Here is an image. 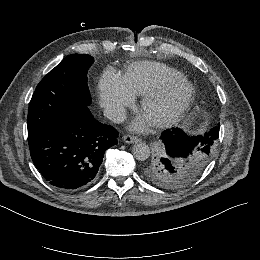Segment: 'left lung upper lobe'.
<instances>
[{
  "instance_id": "left-lung-upper-lobe-1",
  "label": "left lung upper lobe",
  "mask_w": 260,
  "mask_h": 260,
  "mask_svg": "<svg viewBox=\"0 0 260 260\" xmlns=\"http://www.w3.org/2000/svg\"><path fill=\"white\" fill-rule=\"evenodd\" d=\"M213 153L198 151L185 157L170 158L163 143H157L143 166V175L154 185L179 189L192 184L209 164Z\"/></svg>"
}]
</instances>
